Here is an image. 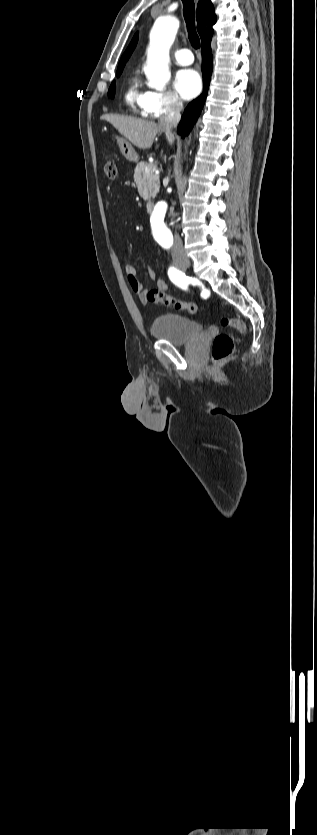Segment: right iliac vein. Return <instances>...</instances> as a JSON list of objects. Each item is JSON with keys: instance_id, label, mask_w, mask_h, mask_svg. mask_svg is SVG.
I'll return each instance as SVG.
<instances>
[{"instance_id": "right-iliac-vein-1", "label": "right iliac vein", "mask_w": 317, "mask_h": 835, "mask_svg": "<svg viewBox=\"0 0 317 835\" xmlns=\"http://www.w3.org/2000/svg\"><path fill=\"white\" fill-rule=\"evenodd\" d=\"M175 265L180 269H186L190 267V261L187 258H178L175 260Z\"/></svg>"}]
</instances>
